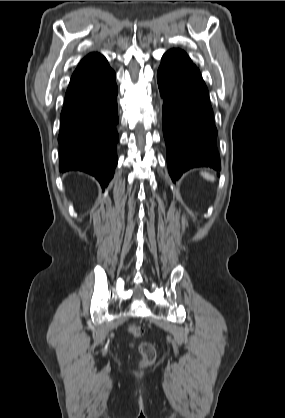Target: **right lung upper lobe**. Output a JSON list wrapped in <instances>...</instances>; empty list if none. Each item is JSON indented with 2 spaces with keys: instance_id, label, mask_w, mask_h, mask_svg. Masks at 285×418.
I'll return each mask as SVG.
<instances>
[{
  "instance_id": "cb5924a9",
  "label": "right lung upper lobe",
  "mask_w": 285,
  "mask_h": 418,
  "mask_svg": "<svg viewBox=\"0 0 285 418\" xmlns=\"http://www.w3.org/2000/svg\"><path fill=\"white\" fill-rule=\"evenodd\" d=\"M111 68L106 58L99 53L84 57L74 71L66 94L72 93L103 76Z\"/></svg>"
}]
</instances>
